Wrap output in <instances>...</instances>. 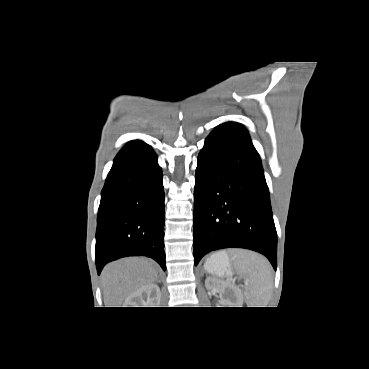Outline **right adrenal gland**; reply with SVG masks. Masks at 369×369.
<instances>
[{"label": "right adrenal gland", "instance_id": "obj_1", "mask_svg": "<svg viewBox=\"0 0 369 369\" xmlns=\"http://www.w3.org/2000/svg\"><path fill=\"white\" fill-rule=\"evenodd\" d=\"M156 282H161L160 280H156Z\"/></svg>", "mask_w": 369, "mask_h": 369}]
</instances>
